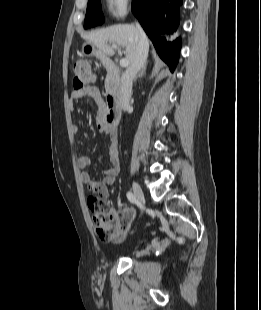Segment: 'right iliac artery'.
<instances>
[{
  "mask_svg": "<svg viewBox=\"0 0 261 310\" xmlns=\"http://www.w3.org/2000/svg\"><path fill=\"white\" fill-rule=\"evenodd\" d=\"M127 198L131 203H135L136 202V198L134 196V194L132 192H127Z\"/></svg>",
  "mask_w": 261,
  "mask_h": 310,
  "instance_id": "1",
  "label": "right iliac artery"
}]
</instances>
